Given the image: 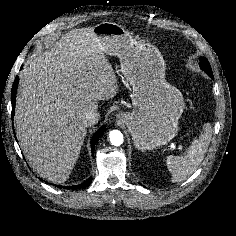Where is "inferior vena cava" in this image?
<instances>
[{"mask_svg": "<svg viewBox=\"0 0 236 236\" xmlns=\"http://www.w3.org/2000/svg\"><path fill=\"white\" fill-rule=\"evenodd\" d=\"M99 119L100 113L97 110L90 109L83 114V123L87 127L98 123Z\"/></svg>", "mask_w": 236, "mask_h": 236, "instance_id": "602c4592", "label": "inferior vena cava"}]
</instances>
